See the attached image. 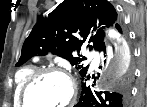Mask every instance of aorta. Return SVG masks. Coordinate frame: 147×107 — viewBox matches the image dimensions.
Wrapping results in <instances>:
<instances>
[{"label": "aorta", "mask_w": 147, "mask_h": 107, "mask_svg": "<svg viewBox=\"0 0 147 107\" xmlns=\"http://www.w3.org/2000/svg\"><path fill=\"white\" fill-rule=\"evenodd\" d=\"M110 42L111 45L107 47L108 64L97 84L100 91L115 89L130 75L132 55L125 40L118 33L111 31Z\"/></svg>", "instance_id": "obj_1"}]
</instances>
